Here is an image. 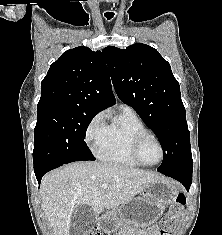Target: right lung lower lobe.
<instances>
[{
	"mask_svg": "<svg viewBox=\"0 0 222 235\" xmlns=\"http://www.w3.org/2000/svg\"><path fill=\"white\" fill-rule=\"evenodd\" d=\"M63 164H64V163H63ZM63 164H58V165L50 166V167H48V168H45V169H43V170H40V171L35 172V175H36V178H37L38 182H39V183L41 182V179H42V177H43V175H44L45 173H47L48 171H50V170H52V169H55V168H57V167H59V166H62Z\"/></svg>",
	"mask_w": 222,
	"mask_h": 235,
	"instance_id": "right-lung-lower-lobe-1",
	"label": "right lung lower lobe"
}]
</instances>
